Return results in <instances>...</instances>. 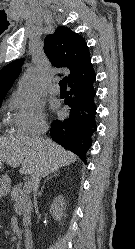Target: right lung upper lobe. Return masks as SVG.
<instances>
[{"mask_svg":"<svg viewBox=\"0 0 135 249\" xmlns=\"http://www.w3.org/2000/svg\"><path fill=\"white\" fill-rule=\"evenodd\" d=\"M44 51L55 67L69 69L68 84L80 82L94 74L90 53L84 38L70 28L60 26L47 35ZM24 59L15 60L0 70V101L18 77Z\"/></svg>","mask_w":135,"mask_h":249,"instance_id":"right-lung-upper-lobe-1","label":"right lung upper lobe"}]
</instances>
